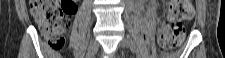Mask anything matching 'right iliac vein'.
I'll list each match as a JSON object with an SVG mask.
<instances>
[{
    "label": "right iliac vein",
    "instance_id": "right-iliac-vein-1",
    "mask_svg": "<svg viewBox=\"0 0 225 58\" xmlns=\"http://www.w3.org/2000/svg\"><path fill=\"white\" fill-rule=\"evenodd\" d=\"M98 46V42L95 39L91 40L87 49L86 58H91L97 52Z\"/></svg>",
    "mask_w": 225,
    "mask_h": 58
}]
</instances>
